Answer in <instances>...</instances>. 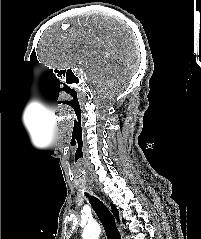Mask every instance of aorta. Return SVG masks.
Masks as SVG:
<instances>
[{"label": "aorta", "instance_id": "obj_1", "mask_svg": "<svg viewBox=\"0 0 201 239\" xmlns=\"http://www.w3.org/2000/svg\"><path fill=\"white\" fill-rule=\"evenodd\" d=\"M101 233L100 226L96 223L88 224L84 230L83 239H98Z\"/></svg>", "mask_w": 201, "mask_h": 239}]
</instances>
